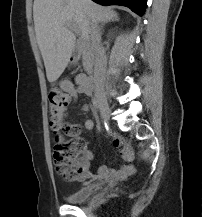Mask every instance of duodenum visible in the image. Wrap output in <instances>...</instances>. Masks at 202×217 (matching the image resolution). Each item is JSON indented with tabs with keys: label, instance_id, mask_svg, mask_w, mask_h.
I'll list each match as a JSON object with an SVG mask.
<instances>
[{
	"label": "duodenum",
	"instance_id": "1",
	"mask_svg": "<svg viewBox=\"0 0 202 217\" xmlns=\"http://www.w3.org/2000/svg\"><path fill=\"white\" fill-rule=\"evenodd\" d=\"M81 56H82V52L80 50L76 49L73 52L72 59L76 60V59H79ZM81 85H82L83 89L85 90V92L91 93V91H92V81L89 78L82 75V77H81Z\"/></svg>",
	"mask_w": 202,
	"mask_h": 217
}]
</instances>
